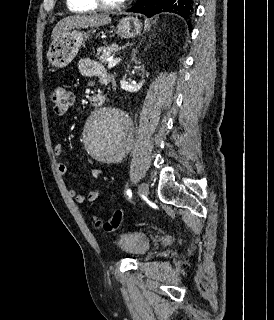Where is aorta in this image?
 Returning <instances> with one entry per match:
<instances>
[{
	"label": "aorta",
	"instance_id": "aorta-1",
	"mask_svg": "<svg viewBox=\"0 0 274 320\" xmlns=\"http://www.w3.org/2000/svg\"><path fill=\"white\" fill-rule=\"evenodd\" d=\"M132 122L117 105L94 111L83 132L84 147L100 162H114L125 156L132 143Z\"/></svg>",
	"mask_w": 274,
	"mask_h": 320
}]
</instances>
